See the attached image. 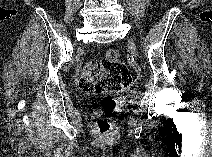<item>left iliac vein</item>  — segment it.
Returning <instances> with one entry per match:
<instances>
[{"label": "left iliac vein", "mask_w": 212, "mask_h": 157, "mask_svg": "<svg viewBox=\"0 0 212 157\" xmlns=\"http://www.w3.org/2000/svg\"><path fill=\"white\" fill-rule=\"evenodd\" d=\"M129 48L131 49L132 53L134 55H137V49H136V45L133 41L129 40Z\"/></svg>", "instance_id": "left-iliac-vein-1"}]
</instances>
